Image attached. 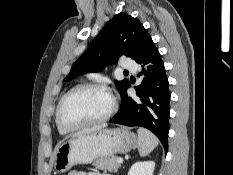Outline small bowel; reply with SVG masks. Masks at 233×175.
I'll list each match as a JSON object with an SVG mask.
<instances>
[{
  "label": "small bowel",
  "mask_w": 233,
  "mask_h": 175,
  "mask_svg": "<svg viewBox=\"0 0 233 175\" xmlns=\"http://www.w3.org/2000/svg\"><path fill=\"white\" fill-rule=\"evenodd\" d=\"M68 175H110L106 173H100L97 171H71Z\"/></svg>",
  "instance_id": "obj_1"
}]
</instances>
